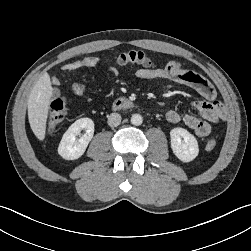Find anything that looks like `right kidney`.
Returning <instances> with one entry per match:
<instances>
[{
	"mask_svg": "<svg viewBox=\"0 0 251 251\" xmlns=\"http://www.w3.org/2000/svg\"><path fill=\"white\" fill-rule=\"evenodd\" d=\"M82 130H85V133L81 136ZM93 135L94 122L92 119L76 120L64 133L58 147V154L66 160L78 159L84 154Z\"/></svg>",
	"mask_w": 251,
	"mask_h": 251,
	"instance_id": "obj_1",
	"label": "right kidney"
}]
</instances>
